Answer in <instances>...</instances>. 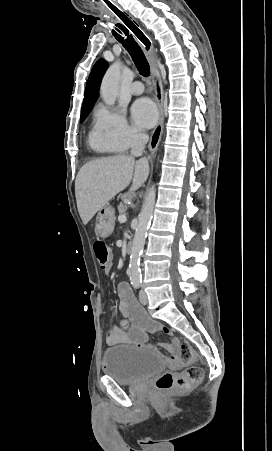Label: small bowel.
Returning <instances> with one entry per match:
<instances>
[{"label":"small bowel","mask_w":272,"mask_h":451,"mask_svg":"<svg viewBox=\"0 0 272 451\" xmlns=\"http://www.w3.org/2000/svg\"><path fill=\"white\" fill-rule=\"evenodd\" d=\"M111 268L112 263L110 262L104 270L106 273H109ZM116 293L119 299V312L123 318L131 322V325L125 330L118 326H113L106 337L108 344H132L138 348H147L148 350L158 352L160 348L168 351V348H172L179 343V340L175 337L172 338L171 343L164 342L160 343L158 346L146 343L144 334L146 330L159 329L164 333L171 335L170 329L158 325L145 314L144 310L135 299L128 283L120 282L117 285Z\"/></svg>","instance_id":"c3829d8e"}]
</instances>
